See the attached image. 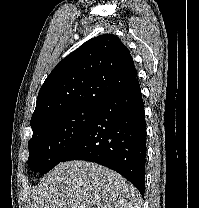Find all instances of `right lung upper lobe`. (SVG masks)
Masks as SVG:
<instances>
[{
  "mask_svg": "<svg viewBox=\"0 0 199 208\" xmlns=\"http://www.w3.org/2000/svg\"><path fill=\"white\" fill-rule=\"evenodd\" d=\"M136 81L133 58L117 36L92 38L59 62L46 78L31 127L65 111L98 106Z\"/></svg>",
  "mask_w": 199,
  "mask_h": 208,
  "instance_id": "1",
  "label": "right lung upper lobe"
}]
</instances>
